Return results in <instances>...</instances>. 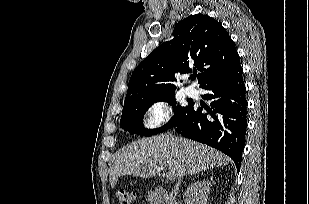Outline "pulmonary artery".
<instances>
[{
	"label": "pulmonary artery",
	"instance_id": "obj_1",
	"mask_svg": "<svg viewBox=\"0 0 309 204\" xmlns=\"http://www.w3.org/2000/svg\"><path fill=\"white\" fill-rule=\"evenodd\" d=\"M185 93L188 96H194L196 94V89L192 86H188V87L185 88Z\"/></svg>",
	"mask_w": 309,
	"mask_h": 204
}]
</instances>
